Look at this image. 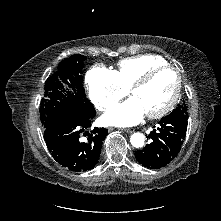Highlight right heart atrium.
<instances>
[{
	"label": "right heart atrium",
	"instance_id": "right-heart-atrium-1",
	"mask_svg": "<svg viewBox=\"0 0 221 221\" xmlns=\"http://www.w3.org/2000/svg\"><path fill=\"white\" fill-rule=\"evenodd\" d=\"M85 81L90 100L101 111L106 110L127 94V89L118 81L114 71L104 66L91 67Z\"/></svg>",
	"mask_w": 221,
	"mask_h": 221
}]
</instances>
